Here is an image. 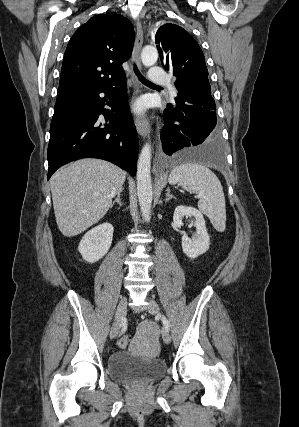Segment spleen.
<instances>
[{
	"label": "spleen",
	"mask_w": 299,
	"mask_h": 427,
	"mask_svg": "<svg viewBox=\"0 0 299 427\" xmlns=\"http://www.w3.org/2000/svg\"><path fill=\"white\" fill-rule=\"evenodd\" d=\"M168 181L190 193H198L199 210L209 218L218 232H224L226 227L224 192L221 182L209 168L196 163L181 164L170 172Z\"/></svg>",
	"instance_id": "obj_1"
}]
</instances>
